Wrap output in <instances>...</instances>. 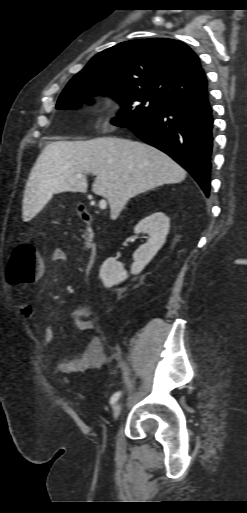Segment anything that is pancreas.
<instances>
[{
    "label": "pancreas",
    "mask_w": 247,
    "mask_h": 513,
    "mask_svg": "<svg viewBox=\"0 0 247 513\" xmlns=\"http://www.w3.org/2000/svg\"><path fill=\"white\" fill-rule=\"evenodd\" d=\"M85 245H86V247H88V245H89L88 239L85 240Z\"/></svg>",
    "instance_id": "1"
}]
</instances>
